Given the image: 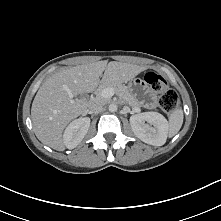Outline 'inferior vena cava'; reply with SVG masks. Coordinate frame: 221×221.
Instances as JSON below:
<instances>
[{
	"label": "inferior vena cava",
	"mask_w": 221,
	"mask_h": 221,
	"mask_svg": "<svg viewBox=\"0 0 221 221\" xmlns=\"http://www.w3.org/2000/svg\"><path fill=\"white\" fill-rule=\"evenodd\" d=\"M89 109L95 114H98L104 110L103 105L99 103H91Z\"/></svg>",
	"instance_id": "inferior-vena-cava-1"
}]
</instances>
